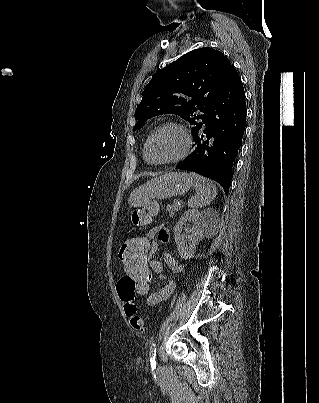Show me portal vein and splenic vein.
Segmentation results:
<instances>
[{
	"mask_svg": "<svg viewBox=\"0 0 319 403\" xmlns=\"http://www.w3.org/2000/svg\"><path fill=\"white\" fill-rule=\"evenodd\" d=\"M178 205H181L182 204V201L181 200H176L175 201Z\"/></svg>",
	"mask_w": 319,
	"mask_h": 403,
	"instance_id": "obj_1",
	"label": "portal vein and splenic vein"
}]
</instances>
